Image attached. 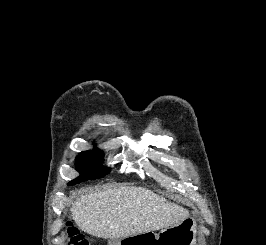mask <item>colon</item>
I'll return each mask as SVG.
<instances>
[{"label":"colon","mask_w":266,"mask_h":245,"mask_svg":"<svg viewBox=\"0 0 266 245\" xmlns=\"http://www.w3.org/2000/svg\"><path fill=\"white\" fill-rule=\"evenodd\" d=\"M66 236L68 245H89V242L84 238L82 233L71 223L66 225Z\"/></svg>","instance_id":"colon-1"}]
</instances>
